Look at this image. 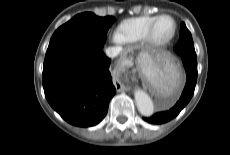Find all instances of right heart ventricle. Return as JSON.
I'll list each match as a JSON object with an SVG mask.
<instances>
[{"label": "right heart ventricle", "instance_id": "e07e8e85", "mask_svg": "<svg viewBox=\"0 0 230 155\" xmlns=\"http://www.w3.org/2000/svg\"><path fill=\"white\" fill-rule=\"evenodd\" d=\"M157 16H138L122 21L115 31L118 42L135 43L145 38L146 32Z\"/></svg>", "mask_w": 230, "mask_h": 155}]
</instances>
